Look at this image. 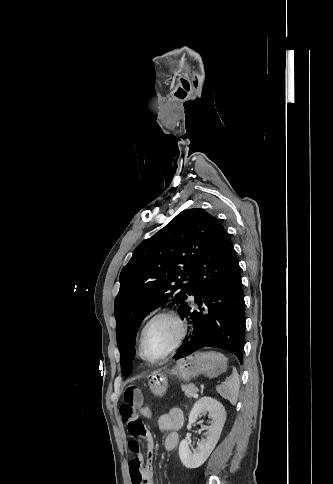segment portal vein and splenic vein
<instances>
[{
	"instance_id": "18ae733b",
	"label": "portal vein and splenic vein",
	"mask_w": 333,
	"mask_h": 484,
	"mask_svg": "<svg viewBox=\"0 0 333 484\" xmlns=\"http://www.w3.org/2000/svg\"><path fill=\"white\" fill-rule=\"evenodd\" d=\"M195 392H196V393H195V394H193V396H194V397L198 395V394H197L198 389H196V390H195Z\"/></svg>"
}]
</instances>
